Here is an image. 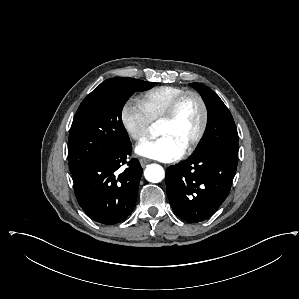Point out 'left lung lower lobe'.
I'll list each match as a JSON object with an SVG mask.
<instances>
[{
  "label": "left lung lower lobe",
  "mask_w": 299,
  "mask_h": 299,
  "mask_svg": "<svg viewBox=\"0 0 299 299\" xmlns=\"http://www.w3.org/2000/svg\"><path fill=\"white\" fill-rule=\"evenodd\" d=\"M237 162L232 154L214 151L168 167L167 195L175 214L189 222L211 216L229 194Z\"/></svg>",
  "instance_id": "obj_1"
}]
</instances>
